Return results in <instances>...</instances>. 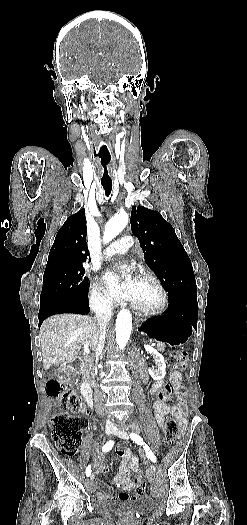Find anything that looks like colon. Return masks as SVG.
Returning <instances> with one entry per match:
<instances>
[{
	"mask_svg": "<svg viewBox=\"0 0 247 525\" xmlns=\"http://www.w3.org/2000/svg\"><path fill=\"white\" fill-rule=\"evenodd\" d=\"M173 361L177 371H184L187 362L186 352L176 350L173 353ZM171 373H174V370H171ZM46 392L50 398L58 400L67 409L66 413L53 417L51 422L52 438L64 456L73 457L81 446L83 431L88 427L84 402L73 388L65 386L56 379L47 382ZM177 435V421L174 417L169 416L165 423V442L167 444L174 443ZM137 484V495L142 496L146 487L143 476L138 477Z\"/></svg>",
	"mask_w": 247,
	"mask_h": 525,
	"instance_id": "obj_1",
	"label": "colon"
}]
</instances>
